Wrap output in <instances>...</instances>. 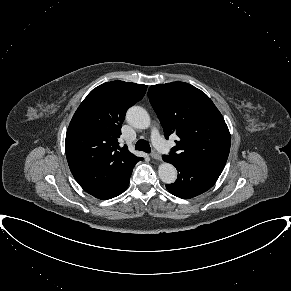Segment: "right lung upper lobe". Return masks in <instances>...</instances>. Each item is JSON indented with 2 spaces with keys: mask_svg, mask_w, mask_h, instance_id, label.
Returning <instances> with one entry per match:
<instances>
[{
  "mask_svg": "<svg viewBox=\"0 0 291 291\" xmlns=\"http://www.w3.org/2000/svg\"><path fill=\"white\" fill-rule=\"evenodd\" d=\"M147 86L112 81L93 89L76 110L66 133L69 168L79 185L98 199L118 196L142 160L120 148L117 139L129 107L141 100Z\"/></svg>",
  "mask_w": 291,
  "mask_h": 291,
  "instance_id": "1",
  "label": "right lung upper lobe"
}]
</instances>
